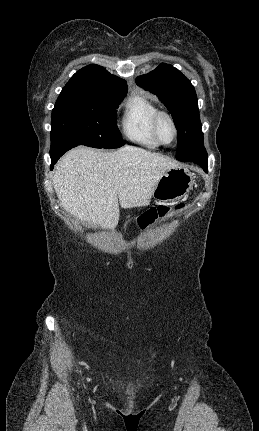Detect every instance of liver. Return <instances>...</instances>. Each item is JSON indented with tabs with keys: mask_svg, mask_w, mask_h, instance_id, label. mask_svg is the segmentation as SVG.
Segmentation results:
<instances>
[{
	"mask_svg": "<svg viewBox=\"0 0 259 431\" xmlns=\"http://www.w3.org/2000/svg\"><path fill=\"white\" fill-rule=\"evenodd\" d=\"M179 165L145 149L70 150L56 164L53 186L60 206L83 222L114 230L122 208L147 206L164 173Z\"/></svg>",
	"mask_w": 259,
	"mask_h": 431,
	"instance_id": "obj_1",
	"label": "liver"
}]
</instances>
